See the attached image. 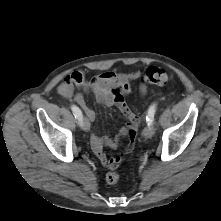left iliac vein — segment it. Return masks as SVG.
Instances as JSON below:
<instances>
[{"instance_id":"left-iliac-vein-1","label":"left iliac vein","mask_w":221,"mask_h":221,"mask_svg":"<svg viewBox=\"0 0 221 221\" xmlns=\"http://www.w3.org/2000/svg\"><path fill=\"white\" fill-rule=\"evenodd\" d=\"M154 132H155V127L153 124H151L144 128L142 134L145 138H150L153 136Z\"/></svg>"}]
</instances>
